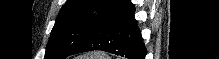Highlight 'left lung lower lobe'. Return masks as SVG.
<instances>
[{
    "instance_id": "obj_1",
    "label": "left lung lower lobe",
    "mask_w": 219,
    "mask_h": 59,
    "mask_svg": "<svg viewBox=\"0 0 219 59\" xmlns=\"http://www.w3.org/2000/svg\"><path fill=\"white\" fill-rule=\"evenodd\" d=\"M130 0H111L94 31L70 55L102 50L127 59H145L146 48Z\"/></svg>"
}]
</instances>
